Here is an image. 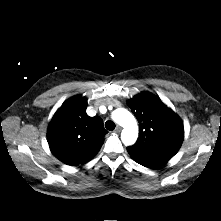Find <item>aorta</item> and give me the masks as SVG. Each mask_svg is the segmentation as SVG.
<instances>
[{
  "mask_svg": "<svg viewBox=\"0 0 221 221\" xmlns=\"http://www.w3.org/2000/svg\"><path fill=\"white\" fill-rule=\"evenodd\" d=\"M113 120L123 127L121 140L124 145L129 146L138 138V125L134 116L124 108H118L112 113Z\"/></svg>",
  "mask_w": 221,
  "mask_h": 221,
  "instance_id": "762f6f07",
  "label": "aorta"
}]
</instances>
